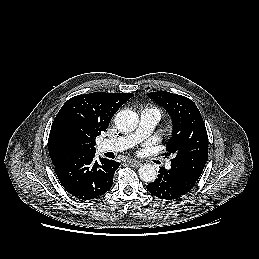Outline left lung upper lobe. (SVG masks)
<instances>
[{
  "label": "left lung upper lobe",
  "instance_id": "obj_1",
  "mask_svg": "<svg viewBox=\"0 0 259 259\" xmlns=\"http://www.w3.org/2000/svg\"><path fill=\"white\" fill-rule=\"evenodd\" d=\"M147 95L172 118L173 132L167 143V155L174 154L171 164L198 179L208 158V135L197 106L189 98L169 92Z\"/></svg>",
  "mask_w": 259,
  "mask_h": 259
}]
</instances>
